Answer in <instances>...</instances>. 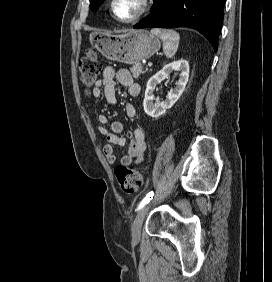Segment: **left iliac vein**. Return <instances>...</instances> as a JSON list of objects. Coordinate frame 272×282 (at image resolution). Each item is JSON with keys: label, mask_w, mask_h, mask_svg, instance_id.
<instances>
[{"label": "left iliac vein", "mask_w": 272, "mask_h": 282, "mask_svg": "<svg viewBox=\"0 0 272 282\" xmlns=\"http://www.w3.org/2000/svg\"><path fill=\"white\" fill-rule=\"evenodd\" d=\"M149 207L150 205L149 204H146L144 207H142L134 221H133V224H132V227H131V232H132V240L133 242L135 243H138L140 241V237H141V228H142V224H143V221H144V218L149 210Z\"/></svg>", "instance_id": "4c4485c4"}]
</instances>
